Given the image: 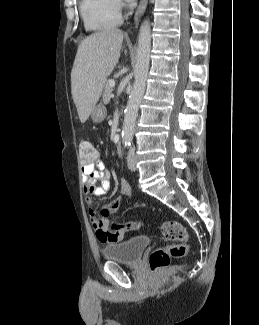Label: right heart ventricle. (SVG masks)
<instances>
[{
	"label": "right heart ventricle",
	"mask_w": 259,
	"mask_h": 325,
	"mask_svg": "<svg viewBox=\"0 0 259 325\" xmlns=\"http://www.w3.org/2000/svg\"><path fill=\"white\" fill-rule=\"evenodd\" d=\"M79 9L88 31H103L121 23V14L114 0H80Z\"/></svg>",
	"instance_id": "right-heart-ventricle-1"
}]
</instances>
